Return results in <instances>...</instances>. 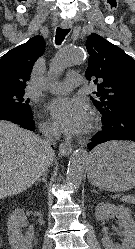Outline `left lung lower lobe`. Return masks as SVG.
Segmentation results:
<instances>
[{
  "mask_svg": "<svg viewBox=\"0 0 135 249\" xmlns=\"http://www.w3.org/2000/svg\"><path fill=\"white\" fill-rule=\"evenodd\" d=\"M103 129L88 144L89 150L110 140L135 141V106H121L102 118Z\"/></svg>",
  "mask_w": 135,
  "mask_h": 249,
  "instance_id": "obj_1",
  "label": "left lung lower lobe"
}]
</instances>
